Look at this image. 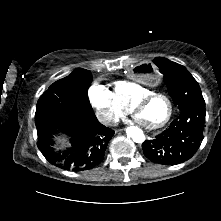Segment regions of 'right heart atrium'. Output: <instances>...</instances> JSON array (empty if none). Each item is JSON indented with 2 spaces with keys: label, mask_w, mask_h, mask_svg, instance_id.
I'll list each match as a JSON object with an SVG mask.
<instances>
[{
  "label": "right heart atrium",
  "mask_w": 221,
  "mask_h": 221,
  "mask_svg": "<svg viewBox=\"0 0 221 221\" xmlns=\"http://www.w3.org/2000/svg\"><path fill=\"white\" fill-rule=\"evenodd\" d=\"M88 96L99 120L106 125L117 123L127 113V108L120 103L115 94L102 84L93 83Z\"/></svg>",
  "instance_id": "1"
}]
</instances>
